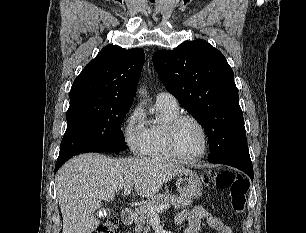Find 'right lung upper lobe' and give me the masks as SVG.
<instances>
[{"mask_svg": "<svg viewBox=\"0 0 306 233\" xmlns=\"http://www.w3.org/2000/svg\"><path fill=\"white\" fill-rule=\"evenodd\" d=\"M144 60L139 48L104 47L74 80L70 104L131 106Z\"/></svg>", "mask_w": 306, "mask_h": 233, "instance_id": "obj_1", "label": "right lung upper lobe"}]
</instances>
